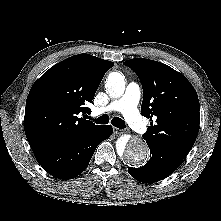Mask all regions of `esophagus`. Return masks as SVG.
<instances>
[{
  "mask_svg": "<svg viewBox=\"0 0 221 221\" xmlns=\"http://www.w3.org/2000/svg\"><path fill=\"white\" fill-rule=\"evenodd\" d=\"M122 133H123L122 129L114 128V134L118 135V134H122Z\"/></svg>",
  "mask_w": 221,
  "mask_h": 221,
  "instance_id": "esophagus-1",
  "label": "esophagus"
}]
</instances>
